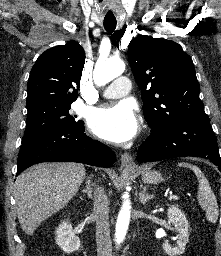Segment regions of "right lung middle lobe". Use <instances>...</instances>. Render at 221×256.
I'll list each match as a JSON object with an SVG mask.
<instances>
[{
  "mask_svg": "<svg viewBox=\"0 0 221 256\" xmlns=\"http://www.w3.org/2000/svg\"><path fill=\"white\" fill-rule=\"evenodd\" d=\"M70 108L71 104H45L28 109L26 129L22 143L49 130L84 126L83 121L78 120L76 115H70Z\"/></svg>",
  "mask_w": 221,
  "mask_h": 256,
  "instance_id": "dd1d6c3e",
  "label": "right lung middle lobe"
}]
</instances>
